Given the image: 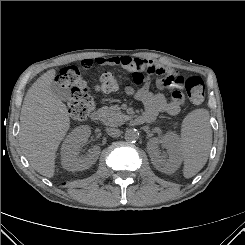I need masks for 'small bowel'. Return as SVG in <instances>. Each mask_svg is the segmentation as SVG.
<instances>
[{
  "mask_svg": "<svg viewBox=\"0 0 245 245\" xmlns=\"http://www.w3.org/2000/svg\"><path fill=\"white\" fill-rule=\"evenodd\" d=\"M93 62L101 66H121L124 69L134 73H139L143 76V80L139 88L134 89L130 85L126 86V92L132 95L135 99L142 102L145 107L144 115L151 118V121L156 118L159 113H167L175 116L180 113L185 104V96L182 92L184 80L181 76H171L165 68L151 60L133 58L130 56H111V57H96L94 61L85 59L82 61L84 68L92 66ZM157 81L158 91H150L151 75H163ZM146 77H145V76ZM171 90V99L167 100L163 90Z\"/></svg>",
  "mask_w": 245,
  "mask_h": 245,
  "instance_id": "small-bowel-1",
  "label": "small bowel"
}]
</instances>
